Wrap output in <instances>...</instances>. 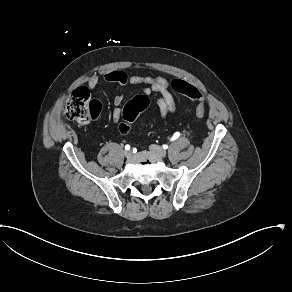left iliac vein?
I'll list each match as a JSON object with an SVG mask.
<instances>
[{
  "mask_svg": "<svg viewBox=\"0 0 292 292\" xmlns=\"http://www.w3.org/2000/svg\"><path fill=\"white\" fill-rule=\"evenodd\" d=\"M149 149H150L151 152L155 153L160 158H165L166 155H167L166 151L162 147H160L158 145L152 144V145L149 146Z\"/></svg>",
  "mask_w": 292,
  "mask_h": 292,
  "instance_id": "1",
  "label": "left iliac vein"
}]
</instances>
